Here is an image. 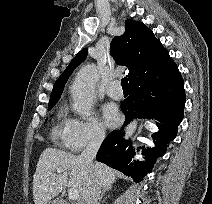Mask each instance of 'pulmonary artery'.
I'll use <instances>...</instances> for the list:
<instances>
[{
	"label": "pulmonary artery",
	"instance_id": "1",
	"mask_svg": "<svg viewBox=\"0 0 212 204\" xmlns=\"http://www.w3.org/2000/svg\"><path fill=\"white\" fill-rule=\"evenodd\" d=\"M106 93L109 97L115 100H119L123 96L122 88L118 81L111 82L106 89Z\"/></svg>",
	"mask_w": 212,
	"mask_h": 204
}]
</instances>
